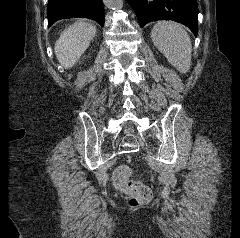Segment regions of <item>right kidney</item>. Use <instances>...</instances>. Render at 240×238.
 Returning a JSON list of instances; mask_svg holds the SVG:
<instances>
[{"mask_svg":"<svg viewBox=\"0 0 240 238\" xmlns=\"http://www.w3.org/2000/svg\"><path fill=\"white\" fill-rule=\"evenodd\" d=\"M96 34V27L84 20L69 26L55 43V54L65 68H71L89 47Z\"/></svg>","mask_w":240,"mask_h":238,"instance_id":"obj_1","label":"right kidney"}]
</instances>
